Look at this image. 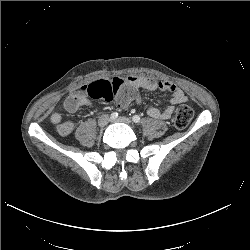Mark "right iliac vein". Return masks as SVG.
Listing matches in <instances>:
<instances>
[{
  "label": "right iliac vein",
  "mask_w": 250,
  "mask_h": 250,
  "mask_svg": "<svg viewBox=\"0 0 250 250\" xmlns=\"http://www.w3.org/2000/svg\"><path fill=\"white\" fill-rule=\"evenodd\" d=\"M108 121L109 117L106 114H103L98 118L97 125L98 127L103 128L107 125Z\"/></svg>",
  "instance_id": "1"
}]
</instances>
